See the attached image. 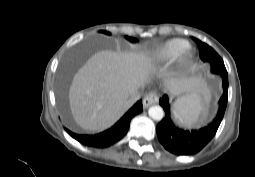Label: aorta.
<instances>
[{
    "label": "aorta",
    "instance_id": "1",
    "mask_svg": "<svg viewBox=\"0 0 255 177\" xmlns=\"http://www.w3.org/2000/svg\"><path fill=\"white\" fill-rule=\"evenodd\" d=\"M149 116L154 120H161L164 117V111L160 106H152L148 110Z\"/></svg>",
    "mask_w": 255,
    "mask_h": 177
}]
</instances>
